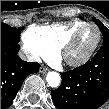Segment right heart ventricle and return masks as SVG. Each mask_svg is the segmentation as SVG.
<instances>
[{"label":"right heart ventricle","instance_id":"obj_1","mask_svg":"<svg viewBox=\"0 0 109 109\" xmlns=\"http://www.w3.org/2000/svg\"><path fill=\"white\" fill-rule=\"evenodd\" d=\"M85 23L87 22L84 20L74 19L68 22L55 23L48 26H31L26 30L24 35L43 40L51 47L59 49L71 33Z\"/></svg>","mask_w":109,"mask_h":109}]
</instances>
